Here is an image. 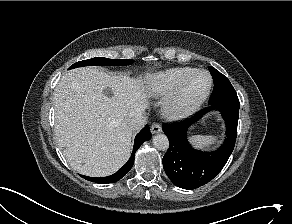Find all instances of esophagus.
Returning a JSON list of instances; mask_svg holds the SVG:
<instances>
[{
    "instance_id": "obj_1",
    "label": "esophagus",
    "mask_w": 292,
    "mask_h": 224,
    "mask_svg": "<svg viewBox=\"0 0 292 224\" xmlns=\"http://www.w3.org/2000/svg\"><path fill=\"white\" fill-rule=\"evenodd\" d=\"M162 131L161 125L159 123H153L151 126V132L153 134L160 133Z\"/></svg>"
}]
</instances>
